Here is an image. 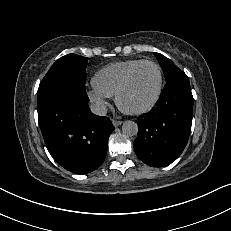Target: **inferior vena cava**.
<instances>
[{
    "label": "inferior vena cava",
    "mask_w": 231,
    "mask_h": 231,
    "mask_svg": "<svg viewBox=\"0 0 231 231\" xmlns=\"http://www.w3.org/2000/svg\"><path fill=\"white\" fill-rule=\"evenodd\" d=\"M90 109H91L92 113L99 115V116H104L107 114V108L102 103H95V104L90 106Z\"/></svg>",
    "instance_id": "obj_1"
}]
</instances>
